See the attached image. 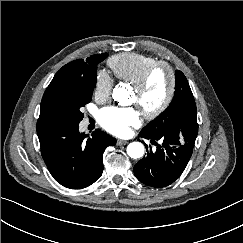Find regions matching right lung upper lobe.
I'll list each match as a JSON object with an SVG mask.
<instances>
[{"label":"right lung upper lobe","mask_w":243,"mask_h":243,"mask_svg":"<svg viewBox=\"0 0 243 243\" xmlns=\"http://www.w3.org/2000/svg\"><path fill=\"white\" fill-rule=\"evenodd\" d=\"M99 55H93L87 58L86 61H84L83 59H77L66 64L55 74L51 82L62 79L89 78L95 71V67L97 66L95 63Z\"/></svg>","instance_id":"obj_1"}]
</instances>
